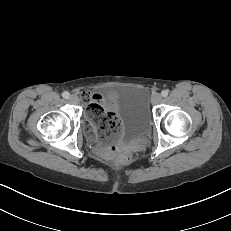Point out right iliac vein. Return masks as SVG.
<instances>
[{
  "mask_svg": "<svg viewBox=\"0 0 231 231\" xmlns=\"http://www.w3.org/2000/svg\"><path fill=\"white\" fill-rule=\"evenodd\" d=\"M69 101H70V103H72V104H77L78 101H79V98H78L76 95H71V96L69 97Z\"/></svg>",
  "mask_w": 231,
  "mask_h": 231,
  "instance_id": "63e3f726",
  "label": "right iliac vein"
}]
</instances>
